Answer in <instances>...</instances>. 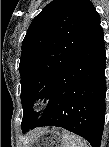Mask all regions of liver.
<instances>
[{
    "label": "liver",
    "instance_id": "obj_1",
    "mask_svg": "<svg viewBox=\"0 0 109 147\" xmlns=\"http://www.w3.org/2000/svg\"><path fill=\"white\" fill-rule=\"evenodd\" d=\"M44 129H46V128H36V129L30 131L29 135H30V137H32V136H34L35 134L41 132Z\"/></svg>",
    "mask_w": 109,
    "mask_h": 147
}]
</instances>
